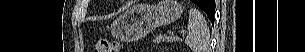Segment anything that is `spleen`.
I'll return each instance as SVG.
<instances>
[{"label":"spleen","mask_w":305,"mask_h":52,"mask_svg":"<svg viewBox=\"0 0 305 52\" xmlns=\"http://www.w3.org/2000/svg\"><path fill=\"white\" fill-rule=\"evenodd\" d=\"M185 43L193 52H210V31L207 22L195 8L189 11L188 35Z\"/></svg>","instance_id":"obj_1"}]
</instances>
